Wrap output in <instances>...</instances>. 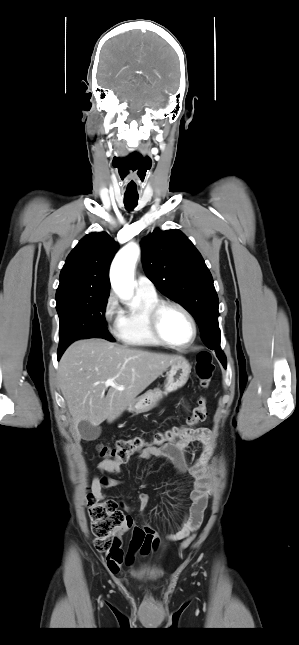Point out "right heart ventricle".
<instances>
[{"label": "right heart ventricle", "instance_id": "1", "mask_svg": "<svg viewBox=\"0 0 299 645\" xmlns=\"http://www.w3.org/2000/svg\"><path fill=\"white\" fill-rule=\"evenodd\" d=\"M158 301L157 294L136 292V305L129 307L120 314V323L116 336L121 342L135 347L161 345L151 333L148 324V313Z\"/></svg>", "mask_w": 299, "mask_h": 645}]
</instances>
